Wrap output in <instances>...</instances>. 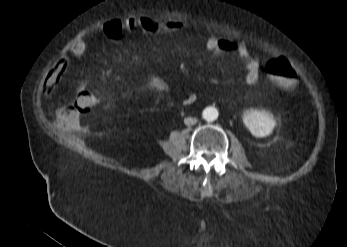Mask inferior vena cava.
<instances>
[{
	"instance_id": "1",
	"label": "inferior vena cava",
	"mask_w": 347,
	"mask_h": 247,
	"mask_svg": "<svg viewBox=\"0 0 347 247\" xmlns=\"http://www.w3.org/2000/svg\"><path fill=\"white\" fill-rule=\"evenodd\" d=\"M197 122V119L195 117H187L184 119V123L186 125H194Z\"/></svg>"
}]
</instances>
